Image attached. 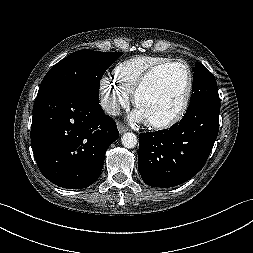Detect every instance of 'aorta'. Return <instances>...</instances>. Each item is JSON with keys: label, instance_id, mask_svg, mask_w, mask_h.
Returning <instances> with one entry per match:
<instances>
[{"label": "aorta", "instance_id": "obj_1", "mask_svg": "<svg viewBox=\"0 0 253 253\" xmlns=\"http://www.w3.org/2000/svg\"><path fill=\"white\" fill-rule=\"evenodd\" d=\"M122 144L125 148L132 149L137 145L138 139L134 133L127 132L122 137Z\"/></svg>", "mask_w": 253, "mask_h": 253}]
</instances>
